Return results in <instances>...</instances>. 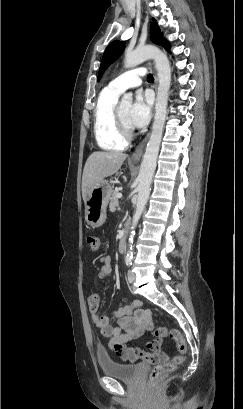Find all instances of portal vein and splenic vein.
I'll list each match as a JSON object with an SVG mask.
<instances>
[{"mask_svg":"<svg viewBox=\"0 0 243 409\" xmlns=\"http://www.w3.org/2000/svg\"><path fill=\"white\" fill-rule=\"evenodd\" d=\"M117 197H118V198H122V194H121V193H118V194H117Z\"/></svg>","mask_w":243,"mask_h":409,"instance_id":"portal-vein-and-splenic-vein-1","label":"portal vein and splenic vein"}]
</instances>
